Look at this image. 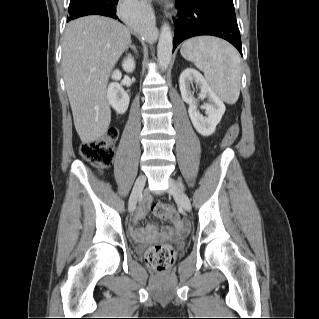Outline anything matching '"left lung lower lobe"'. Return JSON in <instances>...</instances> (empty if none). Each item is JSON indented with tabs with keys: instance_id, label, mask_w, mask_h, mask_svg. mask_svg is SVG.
Here are the masks:
<instances>
[{
	"instance_id": "0a47b994",
	"label": "left lung lower lobe",
	"mask_w": 319,
	"mask_h": 319,
	"mask_svg": "<svg viewBox=\"0 0 319 319\" xmlns=\"http://www.w3.org/2000/svg\"><path fill=\"white\" fill-rule=\"evenodd\" d=\"M175 6L179 12L178 17L173 18V51L183 40L199 35H212L229 41L242 55L240 32L234 10L206 0H176Z\"/></svg>"
}]
</instances>
